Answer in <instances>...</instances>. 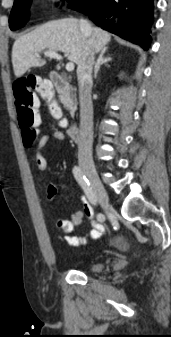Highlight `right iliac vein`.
<instances>
[{"instance_id": "obj_1", "label": "right iliac vein", "mask_w": 171, "mask_h": 337, "mask_svg": "<svg viewBox=\"0 0 171 337\" xmlns=\"http://www.w3.org/2000/svg\"><path fill=\"white\" fill-rule=\"evenodd\" d=\"M81 166L84 174L87 176V178L91 183L97 201L100 203L102 208L108 213L110 211L109 198L104 186L102 185L98 177V174L94 166L86 163H82Z\"/></svg>"}]
</instances>
